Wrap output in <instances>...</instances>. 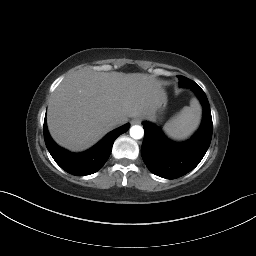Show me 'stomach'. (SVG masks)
I'll return each mask as SVG.
<instances>
[{"label": "stomach", "mask_w": 256, "mask_h": 256, "mask_svg": "<svg viewBox=\"0 0 256 256\" xmlns=\"http://www.w3.org/2000/svg\"><path fill=\"white\" fill-rule=\"evenodd\" d=\"M166 106H167V99H165L158 105L156 112L151 119H156L158 117V115H161L165 111Z\"/></svg>", "instance_id": "0dacf381"}]
</instances>
